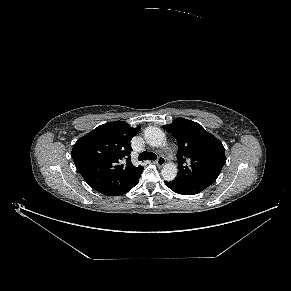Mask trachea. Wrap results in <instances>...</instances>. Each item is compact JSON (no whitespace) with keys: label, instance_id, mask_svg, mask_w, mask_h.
<instances>
[{"label":"trachea","instance_id":"3493384b","mask_svg":"<svg viewBox=\"0 0 291 291\" xmlns=\"http://www.w3.org/2000/svg\"><path fill=\"white\" fill-rule=\"evenodd\" d=\"M156 159H157V156L153 152L144 151L140 155L141 161H143V160H156Z\"/></svg>","mask_w":291,"mask_h":291}]
</instances>
